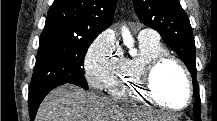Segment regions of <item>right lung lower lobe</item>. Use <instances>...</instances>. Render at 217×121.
<instances>
[{
    "mask_svg": "<svg viewBox=\"0 0 217 121\" xmlns=\"http://www.w3.org/2000/svg\"><path fill=\"white\" fill-rule=\"evenodd\" d=\"M67 82L58 81L47 84L42 88L35 90L33 92H29L28 102H29V113L31 121L34 120L36 112L39 108L40 103L44 99V97L55 87L66 84Z\"/></svg>",
    "mask_w": 217,
    "mask_h": 121,
    "instance_id": "right-lung-lower-lobe-1",
    "label": "right lung lower lobe"
}]
</instances>
